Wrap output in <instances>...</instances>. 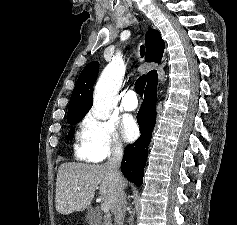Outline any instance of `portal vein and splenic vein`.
Instances as JSON below:
<instances>
[{
  "label": "portal vein and splenic vein",
  "instance_id": "obj_1",
  "mask_svg": "<svg viewBox=\"0 0 237 225\" xmlns=\"http://www.w3.org/2000/svg\"><path fill=\"white\" fill-rule=\"evenodd\" d=\"M100 207H101V210H102L104 213H108V212H109V207H108L107 204L102 203Z\"/></svg>",
  "mask_w": 237,
  "mask_h": 225
}]
</instances>
